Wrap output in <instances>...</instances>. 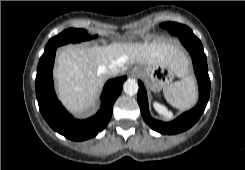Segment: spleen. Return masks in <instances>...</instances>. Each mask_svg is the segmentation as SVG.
<instances>
[{
    "label": "spleen",
    "mask_w": 245,
    "mask_h": 170,
    "mask_svg": "<svg viewBox=\"0 0 245 170\" xmlns=\"http://www.w3.org/2000/svg\"><path fill=\"white\" fill-rule=\"evenodd\" d=\"M166 100L182 110L192 108L197 101V86L193 76H186L180 81L169 84L163 90Z\"/></svg>",
    "instance_id": "1"
}]
</instances>
